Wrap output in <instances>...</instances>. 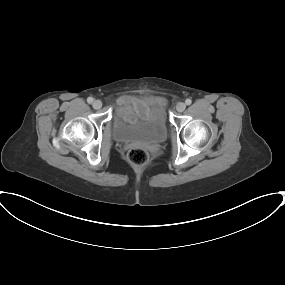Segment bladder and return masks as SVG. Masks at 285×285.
I'll list each match as a JSON object with an SVG mask.
<instances>
[{
	"instance_id": "31cf9c89",
	"label": "bladder",
	"mask_w": 285,
	"mask_h": 285,
	"mask_svg": "<svg viewBox=\"0 0 285 285\" xmlns=\"http://www.w3.org/2000/svg\"><path fill=\"white\" fill-rule=\"evenodd\" d=\"M113 136L116 141L129 143L143 141L161 143L166 139V112L161 103H157L147 118L131 120L130 112L123 106L116 109L114 117Z\"/></svg>"
}]
</instances>
